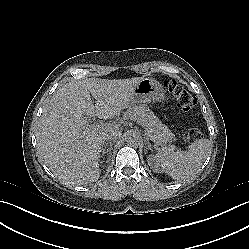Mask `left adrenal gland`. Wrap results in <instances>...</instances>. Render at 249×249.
<instances>
[{
	"label": "left adrenal gland",
	"mask_w": 249,
	"mask_h": 249,
	"mask_svg": "<svg viewBox=\"0 0 249 249\" xmlns=\"http://www.w3.org/2000/svg\"><path fill=\"white\" fill-rule=\"evenodd\" d=\"M147 142H148V148H150L151 147V144H150V142L147 140Z\"/></svg>",
	"instance_id": "a2214340"
}]
</instances>
